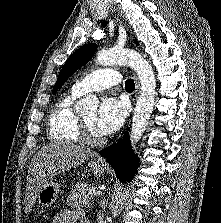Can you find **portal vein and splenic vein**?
<instances>
[{
    "instance_id": "18ae733b",
    "label": "portal vein and splenic vein",
    "mask_w": 221,
    "mask_h": 223,
    "mask_svg": "<svg viewBox=\"0 0 221 223\" xmlns=\"http://www.w3.org/2000/svg\"><path fill=\"white\" fill-rule=\"evenodd\" d=\"M97 192L95 190L90 191V194H96Z\"/></svg>"
}]
</instances>
